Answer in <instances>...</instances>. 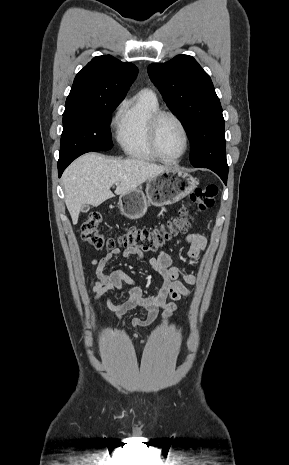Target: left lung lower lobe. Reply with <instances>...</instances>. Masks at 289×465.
I'll return each instance as SVG.
<instances>
[{
    "label": "left lung lower lobe",
    "mask_w": 289,
    "mask_h": 465,
    "mask_svg": "<svg viewBox=\"0 0 289 465\" xmlns=\"http://www.w3.org/2000/svg\"><path fill=\"white\" fill-rule=\"evenodd\" d=\"M208 169L214 171L223 180V182L227 184L228 170L222 171V170H219L216 168H210V167Z\"/></svg>",
    "instance_id": "1"
}]
</instances>
